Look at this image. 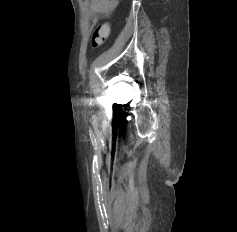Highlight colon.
Wrapping results in <instances>:
<instances>
[{"label": "colon", "mask_w": 237, "mask_h": 232, "mask_svg": "<svg viewBox=\"0 0 237 232\" xmlns=\"http://www.w3.org/2000/svg\"><path fill=\"white\" fill-rule=\"evenodd\" d=\"M108 35H109L108 25L104 24V25L99 26L93 34V38H92L93 47L100 46L106 40Z\"/></svg>", "instance_id": "colon-1"}]
</instances>
